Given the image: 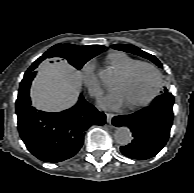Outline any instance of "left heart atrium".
Here are the masks:
<instances>
[{"mask_svg":"<svg viewBox=\"0 0 194 193\" xmlns=\"http://www.w3.org/2000/svg\"><path fill=\"white\" fill-rule=\"evenodd\" d=\"M123 104V98L118 90L110 92L100 101L101 107L105 109H116Z\"/></svg>","mask_w":194,"mask_h":193,"instance_id":"left-heart-atrium-1","label":"left heart atrium"}]
</instances>
